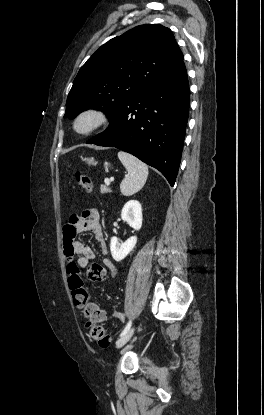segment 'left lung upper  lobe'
Wrapping results in <instances>:
<instances>
[{"label":"left lung upper lobe","mask_w":264,"mask_h":415,"mask_svg":"<svg viewBox=\"0 0 264 415\" xmlns=\"http://www.w3.org/2000/svg\"><path fill=\"white\" fill-rule=\"evenodd\" d=\"M182 60L169 28L137 26L102 45L80 68L64 117L73 119L94 108L105 112L111 121L125 103Z\"/></svg>","instance_id":"5c2ea615"}]
</instances>
